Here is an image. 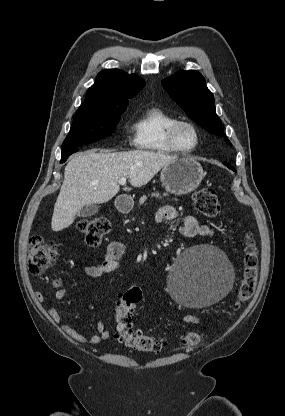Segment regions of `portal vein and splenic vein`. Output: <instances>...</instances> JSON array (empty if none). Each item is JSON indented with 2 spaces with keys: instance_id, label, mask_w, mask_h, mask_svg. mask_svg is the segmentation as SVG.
Segmentation results:
<instances>
[{
  "instance_id": "obj_1",
  "label": "portal vein and splenic vein",
  "mask_w": 285,
  "mask_h": 416,
  "mask_svg": "<svg viewBox=\"0 0 285 416\" xmlns=\"http://www.w3.org/2000/svg\"><path fill=\"white\" fill-rule=\"evenodd\" d=\"M119 184H121V186H125L126 178H119ZM126 190H128V188H126Z\"/></svg>"
}]
</instances>
